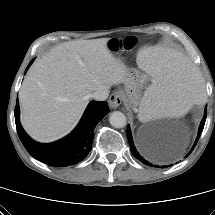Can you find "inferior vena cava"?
Instances as JSON below:
<instances>
[{
	"instance_id": "obj_1",
	"label": "inferior vena cava",
	"mask_w": 215,
	"mask_h": 215,
	"mask_svg": "<svg viewBox=\"0 0 215 215\" xmlns=\"http://www.w3.org/2000/svg\"><path fill=\"white\" fill-rule=\"evenodd\" d=\"M108 93H109L108 88L103 87L93 92L91 94V98H93L96 101H104L108 98V95H109Z\"/></svg>"
}]
</instances>
